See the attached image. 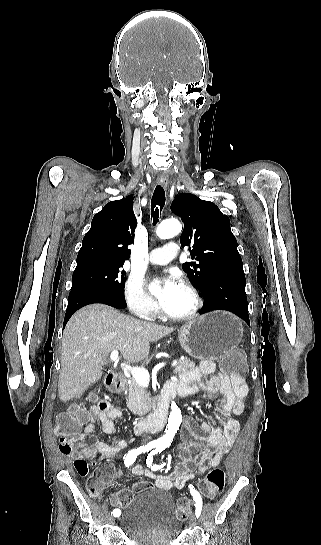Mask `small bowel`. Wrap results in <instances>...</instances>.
<instances>
[{
	"mask_svg": "<svg viewBox=\"0 0 321 545\" xmlns=\"http://www.w3.org/2000/svg\"><path fill=\"white\" fill-rule=\"evenodd\" d=\"M209 375L211 377L206 379ZM176 384L183 396L203 390L211 394L220 393L221 397L215 404L219 413L215 427L206 422L198 425L190 417L186 419L181 430V443L178 446L179 462L171 473L162 475L141 465L133 467L132 473L134 475L148 477L154 480L156 487L166 490L182 489L189 481L206 474L220 463L222 457L229 452L233 445L239 429V422L235 416L243 412L244 401L249 391L244 378H234L216 372V365L210 360L202 362L199 367L184 372L181 380ZM121 416L122 411L119 408L103 401L90 409L84 433L86 435L93 434L96 422H100L103 432L113 434L116 432L114 420ZM202 432L207 433V436H203ZM126 445V440H119L115 445H109L102 441L97 442L95 446L99 452L97 460L104 461L115 458ZM79 461L84 462L88 472L85 459L78 458L75 463ZM100 471L108 473L103 480L104 484L122 476V472L110 463L101 465L96 472Z\"/></svg>",
	"mask_w": 321,
	"mask_h": 545,
	"instance_id": "1",
	"label": "small bowel"
}]
</instances>
